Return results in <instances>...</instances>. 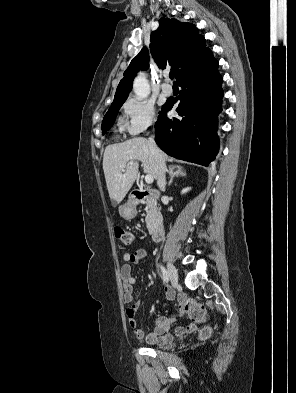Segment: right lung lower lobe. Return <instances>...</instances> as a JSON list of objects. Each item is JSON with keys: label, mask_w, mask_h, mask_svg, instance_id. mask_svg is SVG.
I'll use <instances>...</instances> for the list:
<instances>
[{"label": "right lung lower lobe", "mask_w": 296, "mask_h": 393, "mask_svg": "<svg viewBox=\"0 0 296 393\" xmlns=\"http://www.w3.org/2000/svg\"><path fill=\"white\" fill-rule=\"evenodd\" d=\"M180 95L169 98L155 124V141L170 156L207 166L219 150L218 114L223 91L218 62L210 49L177 78ZM177 104L178 116L167 111Z\"/></svg>", "instance_id": "obj_1"}]
</instances>
